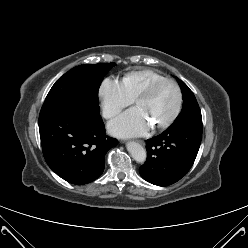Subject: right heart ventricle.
<instances>
[{"mask_svg":"<svg viewBox=\"0 0 248 248\" xmlns=\"http://www.w3.org/2000/svg\"><path fill=\"white\" fill-rule=\"evenodd\" d=\"M162 78L165 77L152 69H142L125 74L121 83L128 95L134 99L150 83Z\"/></svg>","mask_w":248,"mask_h":248,"instance_id":"e07e8e85","label":"right heart ventricle"}]
</instances>
